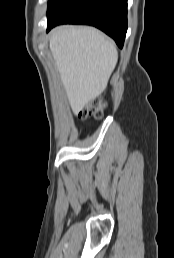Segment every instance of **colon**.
<instances>
[{"mask_svg":"<svg viewBox=\"0 0 174 258\" xmlns=\"http://www.w3.org/2000/svg\"><path fill=\"white\" fill-rule=\"evenodd\" d=\"M104 108L105 103L101 99L96 98L83 106L78 115L82 120H87L90 117L100 118L103 114Z\"/></svg>","mask_w":174,"mask_h":258,"instance_id":"1","label":"colon"}]
</instances>
